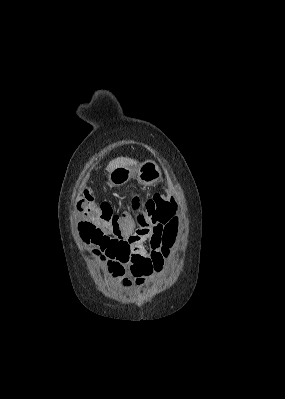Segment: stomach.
Wrapping results in <instances>:
<instances>
[{
    "label": "stomach",
    "instance_id": "obj_1",
    "mask_svg": "<svg viewBox=\"0 0 285 399\" xmlns=\"http://www.w3.org/2000/svg\"><path fill=\"white\" fill-rule=\"evenodd\" d=\"M162 173L159 166L153 160L143 162L139 167H118L109 172L108 184L111 186H122L132 177H137L138 182L144 186H151L161 178Z\"/></svg>",
    "mask_w": 285,
    "mask_h": 399
}]
</instances>
